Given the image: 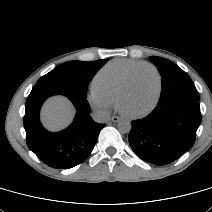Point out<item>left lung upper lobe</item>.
Instances as JSON below:
<instances>
[{
	"mask_svg": "<svg viewBox=\"0 0 212 212\" xmlns=\"http://www.w3.org/2000/svg\"><path fill=\"white\" fill-rule=\"evenodd\" d=\"M162 77L159 103L175 97H187L199 101L198 91L191 78L179 66L162 57L151 56Z\"/></svg>",
	"mask_w": 212,
	"mask_h": 212,
	"instance_id": "1",
	"label": "left lung upper lobe"
}]
</instances>
